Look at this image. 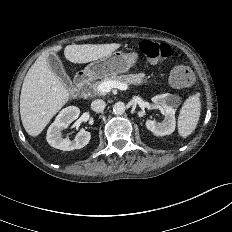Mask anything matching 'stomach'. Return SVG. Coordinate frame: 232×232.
Here are the masks:
<instances>
[{
  "label": "stomach",
  "instance_id": "0dacf381",
  "mask_svg": "<svg viewBox=\"0 0 232 232\" xmlns=\"http://www.w3.org/2000/svg\"><path fill=\"white\" fill-rule=\"evenodd\" d=\"M137 59L138 55L135 52L114 51L108 56L87 65L85 73L92 79L117 75L128 71L136 63Z\"/></svg>",
  "mask_w": 232,
  "mask_h": 232
}]
</instances>
